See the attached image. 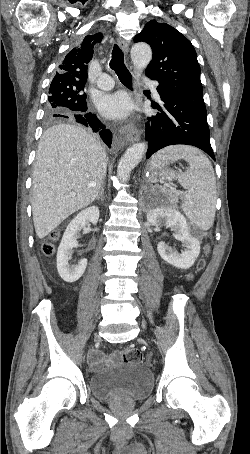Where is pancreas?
<instances>
[{"label": "pancreas", "instance_id": "pancreas-1", "mask_svg": "<svg viewBox=\"0 0 250 454\" xmlns=\"http://www.w3.org/2000/svg\"><path fill=\"white\" fill-rule=\"evenodd\" d=\"M166 195L171 202L177 203V201H178L177 195L170 193V192H167Z\"/></svg>", "mask_w": 250, "mask_h": 454}]
</instances>
